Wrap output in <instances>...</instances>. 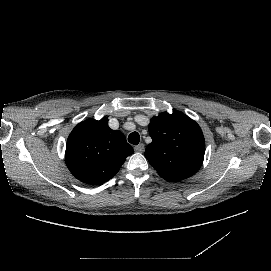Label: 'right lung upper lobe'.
Returning a JSON list of instances; mask_svg holds the SVG:
<instances>
[{
  "label": "right lung upper lobe",
  "mask_w": 271,
  "mask_h": 271,
  "mask_svg": "<svg viewBox=\"0 0 271 271\" xmlns=\"http://www.w3.org/2000/svg\"><path fill=\"white\" fill-rule=\"evenodd\" d=\"M134 150L124 134L112 130L108 119H87L71 132L66 144L65 160L75 178L98 185L113 178Z\"/></svg>",
  "instance_id": "right-lung-upper-lobe-1"
}]
</instances>
